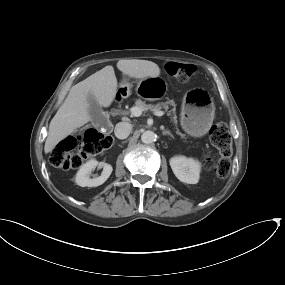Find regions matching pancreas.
<instances>
[{
  "label": "pancreas",
  "instance_id": "obj_1",
  "mask_svg": "<svg viewBox=\"0 0 285 285\" xmlns=\"http://www.w3.org/2000/svg\"><path fill=\"white\" fill-rule=\"evenodd\" d=\"M136 105L138 107H140L142 109V111H148V110H150V111H157V110H160L161 108L168 109L169 105H171L174 108L168 112V115H174L172 120L174 121L175 124L177 123V117H176V114H175V103H174L173 100L157 103L156 105H154V104H145L144 102H137ZM178 134L183 136L179 132H178Z\"/></svg>",
  "mask_w": 285,
  "mask_h": 285
}]
</instances>
